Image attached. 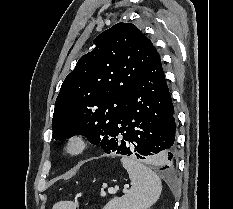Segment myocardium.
<instances>
[{
    "label": "myocardium",
    "instance_id": "f54148a6",
    "mask_svg": "<svg viewBox=\"0 0 233 209\" xmlns=\"http://www.w3.org/2000/svg\"><path fill=\"white\" fill-rule=\"evenodd\" d=\"M88 146L86 137L82 134L70 135L63 146L64 153L70 157H76L82 154Z\"/></svg>",
    "mask_w": 233,
    "mask_h": 209
}]
</instances>
